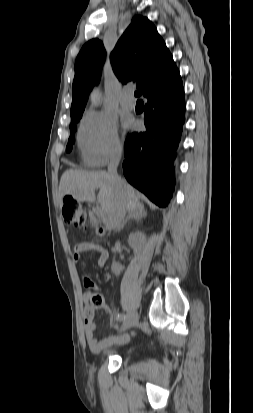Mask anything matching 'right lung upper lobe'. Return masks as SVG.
Wrapping results in <instances>:
<instances>
[{"label": "right lung upper lobe", "mask_w": 253, "mask_h": 413, "mask_svg": "<svg viewBox=\"0 0 253 413\" xmlns=\"http://www.w3.org/2000/svg\"><path fill=\"white\" fill-rule=\"evenodd\" d=\"M106 51L101 41L87 42L75 62L71 120L82 116L88 95L98 84ZM113 71L122 83L134 81L148 97L154 91L182 84L179 70L165 42L148 18L134 16L110 55Z\"/></svg>", "instance_id": "right-lung-upper-lobe-1"}]
</instances>
